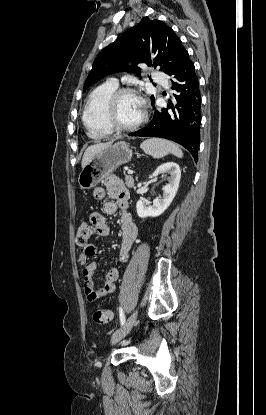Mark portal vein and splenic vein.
<instances>
[{
  "label": "portal vein and splenic vein",
  "mask_w": 266,
  "mask_h": 415,
  "mask_svg": "<svg viewBox=\"0 0 266 415\" xmlns=\"http://www.w3.org/2000/svg\"><path fill=\"white\" fill-rule=\"evenodd\" d=\"M128 174H133V170H128Z\"/></svg>",
  "instance_id": "1"
}]
</instances>
